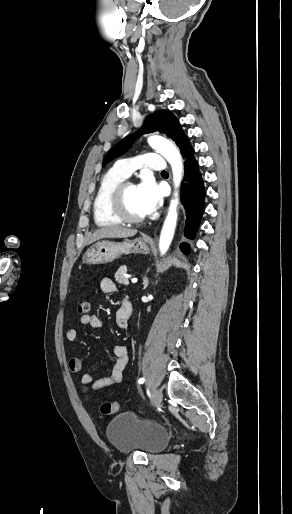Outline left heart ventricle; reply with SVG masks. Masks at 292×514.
<instances>
[{
	"label": "left heart ventricle",
	"instance_id": "b2bd125f",
	"mask_svg": "<svg viewBox=\"0 0 292 514\" xmlns=\"http://www.w3.org/2000/svg\"><path fill=\"white\" fill-rule=\"evenodd\" d=\"M123 207L125 212L131 216H141L145 214L137 194L136 186L128 187L125 190L123 194Z\"/></svg>",
	"mask_w": 292,
	"mask_h": 514
}]
</instances>
